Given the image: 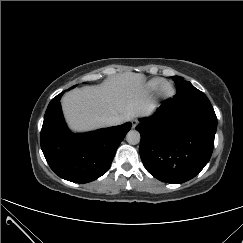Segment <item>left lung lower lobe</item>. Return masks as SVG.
<instances>
[{
  "label": "left lung lower lobe",
  "mask_w": 243,
  "mask_h": 243,
  "mask_svg": "<svg viewBox=\"0 0 243 243\" xmlns=\"http://www.w3.org/2000/svg\"><path fill=\"white\" fill-rule=\"evenodd\" d=\"M197 91L177 88L173 99L165 102L152 117L140 119V156L146 170L166 183H183L210 160L217 129L215 112L191 107Z\"/></svg>",
  "instance_id": "left-lung-lower-lobe-1"
}]
</instances>
